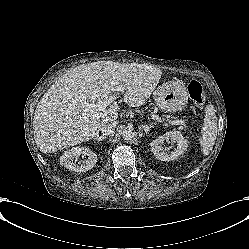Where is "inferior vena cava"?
Returning <instances> with one entry per match:
<instances>
[{"label":"inferior vena cava","mask_w":249,"mask_h":249,"mask_svg":"<svg viewBox=\"0 0 249 249\" xmlns=\"http://www.w3.org/2000/svg\"><path fill=\"white\" fill-rule=\"evenodd\" d=\"M117 122H108L106 121L105 123L101 124L98 128V131H100L102 133L103 136H106V135H111L115 129V126H116Z\"/></svg>","instance_id":"inferior-vena-cava-1"}]
</instances>
